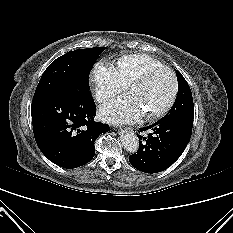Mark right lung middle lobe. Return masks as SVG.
Here are the masks:
<instances>
[{
    "instance_id": "1",
    "label": "right lung middle lobe",
    "mask_w": 233,
    "mask_h": 233,
    "mask_svg": "<svg viewBox=\"0 0 233 233\" xmlns=\"http://www.w3.org/2000/svg\"><path fill=\"white\" fill-rule=\"evenodd\" d=\"M105 47L70 51L57 58L44 71L33 100L72 90L90 91L89 74Z\"/></svg>"
}]
</instances>
